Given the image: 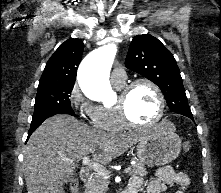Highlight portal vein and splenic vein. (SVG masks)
<instances>
[{
  "label": "portal vein and splenic vein",
  "mask_w": 221,
  "mask_h": 193,
  "mask_svg": "<svg viewBox=\"0 0 221 193\" xmlns=\"http://www.w3.org/2000/svg\"><path fill=\"white\" fill-rule=\"evenodd\" d=\"M66 162L74 164L75 161L74 160H66ZM82 164L85 166H88L90 168H92L93 170H95L97 173L101 174V175H106L108 176L110 174L109 170H107L104 166H102L99 163L96 162H91L88 156L83 157L82 159ZM131 171L130 167H127L124 169V173L127 174Z\"/></svg>",
  "instance_id": "obj_1"
}]
</instances>
